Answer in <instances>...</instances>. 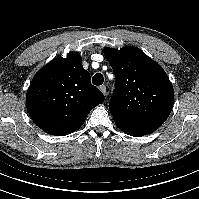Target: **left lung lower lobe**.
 <instances>
[{"instance_id":"0a47b994","label":"left lung lower lobe","mask_w":199,"mask_h":199,"mask_svg":"<svg viewBox=\"0 0 199 199\" xmlns=\"http://www.w3.org/2000/svg\"><path fill=\"white\" fill-rule=\"evenodd\" d=\"M119 127V129H121L124 133L128 134V135H131V136H135V137H140V136H143L141 133L139 132H135V131H132L128 128H125V127H122L120 125H117Z\"/></svg>"}]
</instances>
